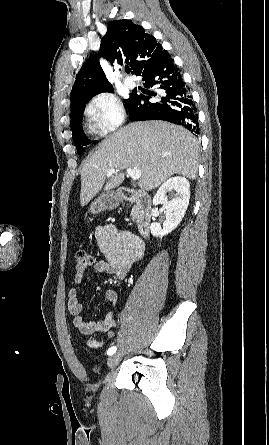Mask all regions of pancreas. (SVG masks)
Segmentation results:
<instances>
[{"label":"pancreas","mask_w":269,"mask_h":445,"mask_svg":"<svg viewBox=\"0 0 269 445\" xmlns=\"http://www.w3.org/2000/svg\"><path fill=\"white\" fill-rule=\"evenodd\" d=\"M131 215L133 216L134 219H136L138 217V209H137V207H133L132 208Z\"/></svg>","instance_id":"obj_1"}]
</instances>
